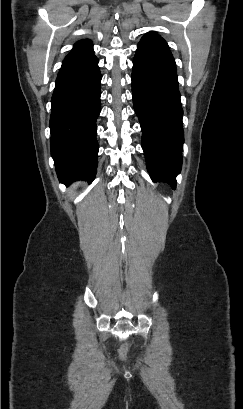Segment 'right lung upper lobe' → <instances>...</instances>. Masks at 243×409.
<instances>
[{"mask_svg":"<svg viewBox=\"0 0 243 409\" xmlns=\"http://www.w3.org/2000/svg\"><path fill=\"white\" fill-rule=\"evenodd\" d=\"M91 45H92V43H91L90 40H81V41H78V42L74 45V48H73V50H72L71 53H74V52H76V51L82 50V49H84V48H86V47H88V46H91Z\"/></svg>","mask_w":243,"mask_h":409,"instance_id":"cb5924a9","label":"right lung upper lobe"}]
</instances>
